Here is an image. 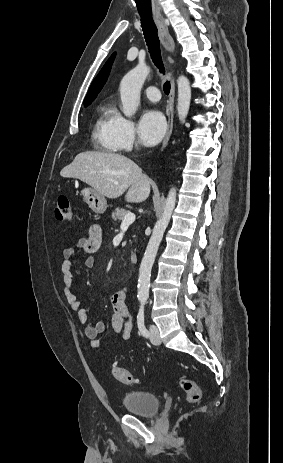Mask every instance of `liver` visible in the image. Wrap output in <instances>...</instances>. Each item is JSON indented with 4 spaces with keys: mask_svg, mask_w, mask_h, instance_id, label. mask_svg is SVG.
<instances>
[{
    "mask_svg": "<svg viewBox=\"0 0 283 463\" xmlns=\"http://www.w3.org/2000/svg\"><path fill=\"white\" fill-rule=\"evenodd\" d=\"M60 175L80 179L110 199L118 198L127 191V202L140 203L150 194L148 176L134 161L117 153H79L71 164L61 170Z\"/></svg>",
    "mask_w": 283,
    "mask_h": 463,
    "instance_id": "1",
    "label": "liver"
}]
</instances>
